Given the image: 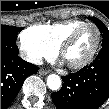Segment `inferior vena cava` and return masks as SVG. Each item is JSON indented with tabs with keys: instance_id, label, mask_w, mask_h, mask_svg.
Returning <instances> with one entry per match:
<instances>
[{
	"instance_id": "obj_1",
	"label": "inferior vena cava",
	"mask_w": 109,
	"mask_h": 109,
	"mask_svg": "<svg viewBox=\"0 0 109 109\" xmlns=\"http://www.w3.org/2000/svg\"><path fill=\"white\" fill-rule=\"evenodd\" d=\"M30 62L36 64V65H42L43 64V60L41 57H32L30 58Z\"/></svg>"
}]
</instances>
